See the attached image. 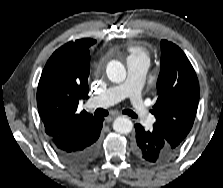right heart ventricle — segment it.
<instances>
[{
  "label": "right heart ventricle",
  "instance_id": "1",
  "mask_svg": "<svg viewBox=\"0 0 223 188\" xmlns=\"http://www.w3.org/2000/svg\"><path fill=\"white\" fill-rule=\"evenodd\" d=\"M132 51L134 52V55H142V56H145L146 58H148L146 52L143 51L142 49L135 47V48H132Z\"/></svg>",
  "mask_w": 223,
  "mask_h": 188
}]
</instances>
